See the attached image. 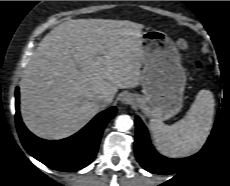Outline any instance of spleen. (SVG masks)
Instances as JSON below:
<instances>
[{
    "label": "spleen",
    "instance_id": "spleen-1",
    "mask_svg": "<svg viewBox=\"0 0 230 186\" xmlns=\"http://www.w3.org/2000/svg\"><path fill=\"white\" fill-rule=\"evenodd\" d=\"M215 100L209 90H200L186 116L168 126L151 119L150 130L156 147L170 157H185L205 144L213 123Z\"/></svg>",
    "mask_w": 230,
    "mask_h": 186
}]
</instances>
